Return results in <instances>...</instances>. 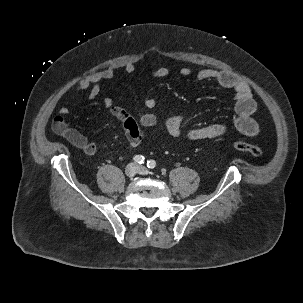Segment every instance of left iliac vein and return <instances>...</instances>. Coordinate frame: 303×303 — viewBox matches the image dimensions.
<instances>
[{
  "instance_id": "left-iliac-vein-1",
  "label": "left iliac vein",
  "mask_w": 303,
  "mask_h": 303,
  "mask_svg": "<svg viewBox=\"0 0 303 303\" xmlns=\"http://www.w3.org/2000/svg\"><path fill=\"white\" fill-rule=\"evenodd\" d=\"M137 173H139L141 175H148L149 171L145 166L139 165V166H137Z\"/></svg>"
}]
</instances>
